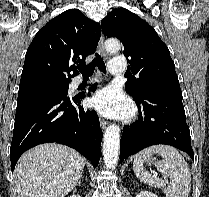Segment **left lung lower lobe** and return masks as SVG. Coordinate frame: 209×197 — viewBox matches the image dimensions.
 Here are the masks:
<instances>
[{
    "label": "left lung lower lobe",
    "instance_id": "0a47b994",
    "mask_svg": "<svg viewBox=\"0 0 209 197\" xmlns=\"http://www.w3.org/2000/svg\"><path fill=\"white\" fill-rule=\"evenodd\" d=\"M181 91H159L134 98L139 119L123 129L120 161L156 144L174 146L194 160Z\"/></svg>",
    "mask_w": 209,
    "mask_h": 197
}]
</instances>
